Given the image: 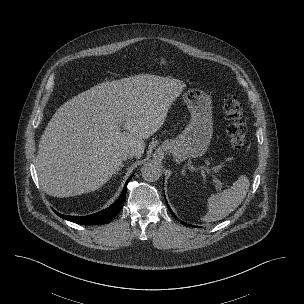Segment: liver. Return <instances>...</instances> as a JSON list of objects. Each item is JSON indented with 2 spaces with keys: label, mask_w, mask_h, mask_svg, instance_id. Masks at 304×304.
<instances>
[{
  "label": "liver",
  "mask_w": 304,
  "mask_h": 304,
  "mask_svg": "<svg viewBox=\"0 0 304 304\" xmlns=\"http://www.w3.org/2000/svg\"><path fill=\"white\" fill-rule=\"evenodd\" d=\"M185 87L178 79L139 74L100 83L61 105L35 163L45 193L63 198L95 191L120 170L127 150L140 158L144 139L161 128Z\"/></svg>",
  "instance_id": "liver-1"
}]
</instances>
